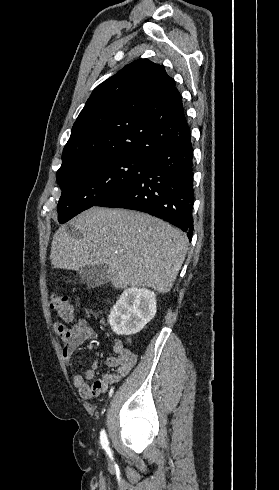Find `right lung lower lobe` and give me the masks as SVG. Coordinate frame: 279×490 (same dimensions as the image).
I'll return each mask as SVG.
<instances>
[{"label":"right lung lower lobe","instance_id":"98d812e1","mask_svg":"<svg viewBox=\"0 0 279 490\" xmlns=\"http://www.w3.org/2000/svg\"><path fill=\"white\" fill-rule=\"evenodd\" d=\"M193 148L191 137L159 153L134 181L95 206L139 210L161 218L193 236Z\"/></svg>","mask_w":279,"mask_h":490}]
</instances>
